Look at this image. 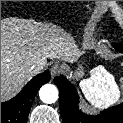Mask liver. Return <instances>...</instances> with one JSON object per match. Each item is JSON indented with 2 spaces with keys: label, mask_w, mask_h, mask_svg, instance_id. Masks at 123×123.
Returning <instances> with one entry per match:
<instances>
[{
  "label": "liver",
  "mask_w": 123,
  "mask_h": 123,
  "mask_svg": "<svg viewBox=\"0 0 123 123\" xmlns=\"http://www.w3.org/2000/svg\"><path fill=\"white\" fill-rule=\"evenodd\" d=\"M75 55L73 38L54 26L14 17L1 19V101L13 97L39 73L47 58L72 60ZM32 64L42 68L29 72Z\"/></svg>",
  "instance_id": "liver-1"
}]
</instances>
